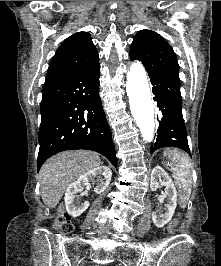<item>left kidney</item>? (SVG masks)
Instances as JSON below:
<instances>
[{
    "instance_id": "1",
    "label": "left kidney",
    "mask_w": 221,
    "mask_h": 266,
    "mask_svg": "<svg viewBox=\"0 0 221 266\" xmlns=\"http://www.w3.org/2000/svg\"><path fill=\"white\" fill-rule=\"evenodd\" d=\"M159 184L165 186V193L161 197H167L168 201L165 205V213L161 216L152 213V220L156 227L161 228L171 220L174 214L177 206V191L168 173L162 167L156 166L151 173L150 187L156 189Z\"/></svg>"
}]
</instances>
